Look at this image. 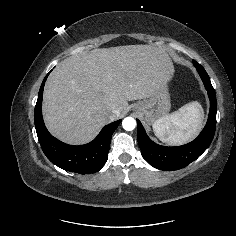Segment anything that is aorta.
I'll return each mask as SVG.
<instances>
[{
  "instance_id": "762f6f07",
  "label": "aorta",
  "mask_w": 236,
  "mask_h": 236,
  "mask_svg": "<svg viewBox=\"0 0 236 236\" xmlns=\"http://www.w3.org/2000/svg\"><path fill=\"white\" fill-rule=\"evenodd\" d=\"M122 126L126 131H132L136 127V120L132 117H126L122 121Z\"/></svg>"
}]
</instances>
